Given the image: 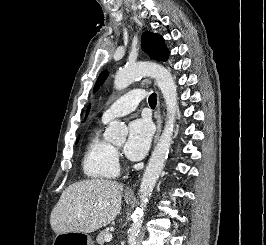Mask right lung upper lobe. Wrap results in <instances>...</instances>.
<instances>
[{
	"label": "right lung upper lobe",
	"instance_id": "obj_1",
	"mask_svg": "<svg viewBox=\"0 0 266 245\" xmlns=\"http://www.w3.org/2000/svg\"><path fill=\"white\" fill-rule=\"evenodd\" d=\"M88 112H89V108H88V110H87V114H88ZM87 114H86V116H87Z\"/></svg>",
	"mask_w": 266,
	"mask_h": 245
}]
</instances>
